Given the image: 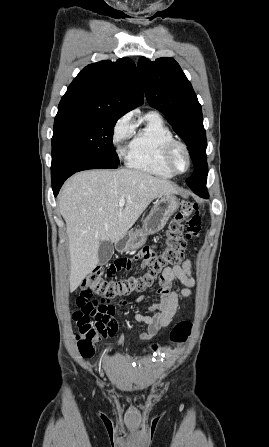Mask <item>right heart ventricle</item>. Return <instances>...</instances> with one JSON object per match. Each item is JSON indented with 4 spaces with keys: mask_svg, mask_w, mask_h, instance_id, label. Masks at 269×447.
Masks as SVG:
<instances>
[{
    "mask_svg": "<svg viewBox=\"0 0 269 447\" xmlns=\"http://www.w3.org/2000/svg\"><path fill=\"white\" fill-rule=\"evenodd\" d=\"M126 156L129 167L171 178L175 174L164 161L166 145L175 139L172 130L156 112H147L137 124Z\"/></svg>",
    "mask_w": 269,
    "mask_h": 447,
    "instance_id": "right-heart-ventricle-1",
    "label": "right heart ventricle"
}]
</instances>
